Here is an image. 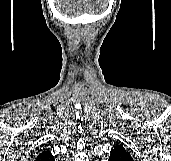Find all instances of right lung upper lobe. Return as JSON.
<instances>
[{"label": "right lung upper lobe", "mask_w": 171, "mask_h": 161, "mask_svg": "<svg viewBox=\"0 0 171 161\" xmlns=\"http://www.w3.org/2000/svg\"><path fill=\"white\" fill-rule=\"evenodd\" d=\"M35 161H54V156L51 155L49 150H44L37 155Z\"/></svg>", "instance_id": "obj_1"}]
</instances>
